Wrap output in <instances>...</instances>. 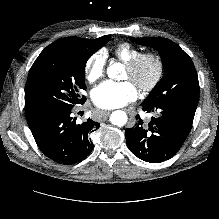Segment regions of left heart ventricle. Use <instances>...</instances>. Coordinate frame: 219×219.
Wrapping results in <instances>:
<instances>
[{"label":"left heart ventricle","mask_w":219,"mask_h":219,"mask_svg":"<svg viewBox=\"0 0 219 219\" xmlns=\"http://www.w3.org/2000/svg\"><path fill=\"white\" fill-rule=\"evenodd\" d=\"M154 64L151 61H146L135 74H131L126 68L124 71V79H129L135 85L145 84L151 80L154 74Z\"/></svg>","instance_id":"b2bd125f"}]
</instances>
